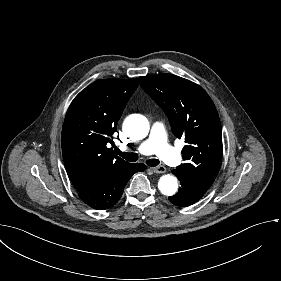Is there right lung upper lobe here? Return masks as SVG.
<instances>
[{
    "mask_svg": "<svg viewBox=\"0 0 281 281\" xmlns=\"http://www.w3.org/2000/svg\"><path fill=\"white\" fill-rule=\"evenodd\" d=\"M138 79L98 80L72 101L62 128V153L68 176L78 192L86 191L130 168L112 152L117 122Z\"/></svg>",
    "mask_w": 281,
    "mask_h": 281,
    "instance_id": "1",
    "label": "right lung upper lobe"
}]
</instances>
